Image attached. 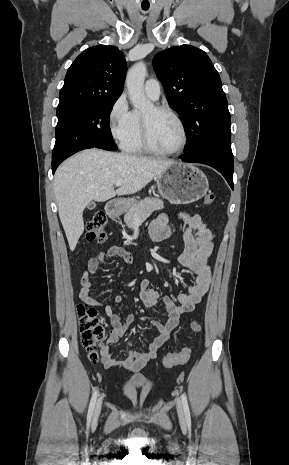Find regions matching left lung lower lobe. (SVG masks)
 I'll list each match as a JSON object with an SVG mask.
<instances>
[{
	"label": "left lung lower lobe",
	"instance_id": "0a47b994",
	"mask_svg": "<svg viewBox=\"0 0 289 465\" xmlns=\"http://www.w3.org/2000/svg\"><path fill=\"white\" fill-rule=\"evenodd\" d=\"M179 158L184 162L202 163L218 170L233 189V155L215 150L197 151L183 154Z\"/></svg>",
	"mask_w": 289,
	"mask_h": 465
}]
</instances>
